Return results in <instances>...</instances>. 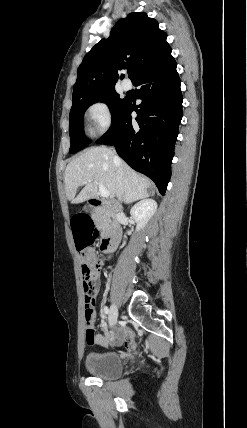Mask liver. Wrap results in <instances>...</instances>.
<instances>
[{"mask_svg": "<svg viewBox=\"0 0 247 428\" xmlns=\"http://www.w3.org/2000/svg\"><path fill=\"white\" fill-rule=\"evenodd\" d=\"M114 153L105 146L87 149L79 157L72 160L65 170V190L67 199L72 204L94 199L99 194L98 183L109 191L110 198L123 199L126 204L147 198L153 193L152 183L140 176L127 164L121 161L123 173V189L120 193L117 184L119 165L114 162ZM84 186L78 196V187Z\"/></svg>", "mask_w": 247, "mask_h": 428, "instance_id": "liver-1", "label": "liver"}]
</instances>
